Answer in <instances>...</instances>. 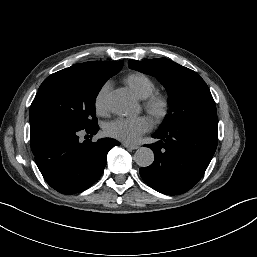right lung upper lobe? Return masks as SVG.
<instances>
[{"instance_id":"1","label":"right lung upper lobe","mask_w":257,"mask_h":257,"mask_svg":"<svg viewBox=\"0 0 257 257\" xmlns=\"http://www.w3.org/2000/svg\"><path fill=\"white\" fill-rule=\"evenodd\" d=\"M75 66L87 70L98 76H110L112 77L118 73L123 66V60L119 62L114 61H90L85 63L75 64Z\"/></svg>"}]
</instances>
